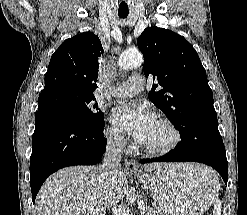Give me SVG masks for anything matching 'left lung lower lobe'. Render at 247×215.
Listing matches in <instances>:
<instances>
[{
  "instance_id": "0a47b994",
  "label": "left lung lower lobe",
  "mask_w": 247,
  "mask_h": 215,
  "mask_svg": "<svg viewBox=\"0 0 247 215\" xmlns=\"http://www.w3.org/2000/svg\"><path fill=\"white\" fill-rule=\"evenodd\" d=\"M186 161L211 166L220 173L227 184L228 162L218 127L191 130L181 136L180 143L168 154L155 159L141 160L140 163Z\"/></svg>"
}]
</instances>
